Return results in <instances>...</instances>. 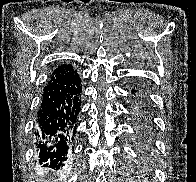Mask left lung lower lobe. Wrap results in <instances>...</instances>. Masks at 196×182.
<instances>
[{
    "label": "left lung lower lobe",
    "mask_w": 196,
    "mask_h": 182,
    "mask_svg": "<svg viewBox=\"0 0 196 182\" xmlns=\"http://www.w3.org/2000/svg\"><path fill=\"white\" fill-rule=\"evenodd\" d=\"M131 93L133 95L132 99L136 101V118L139 120V124L142 127V132H147V107L145 106L146 102V96L145 92L143 91V88L136 86V88H133L131 90Z\"/></svg>",
    "instance_id": "left-lung-lower-lobe-1"
}]
</instances>
